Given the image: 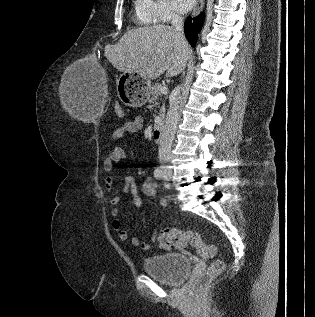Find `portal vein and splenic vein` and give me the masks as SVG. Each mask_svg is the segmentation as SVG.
I'll return each instance as SVG.
<instances>
[{
  "label": "portal vein and splenic vein",
  "mask_w": 315,
  "mask_h": 317,
  "mask_svg": "<svg viewBox=\"0 0 315 317\" xmlns=\"http://www.w3.org/2000/svg\"><path fill=\"white\" fill-rule=\"evenodd\" d=\"M168 90L166 87L161 88V93L162 94H167Z\"/></svg>",
  "instance_id": "1"
}]
</instances>
